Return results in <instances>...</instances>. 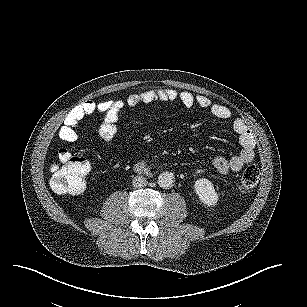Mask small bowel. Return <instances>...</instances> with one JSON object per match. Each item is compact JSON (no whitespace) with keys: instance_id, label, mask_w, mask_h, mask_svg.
<instances>
[{"instance_id":"obj_1","label":"small bowel","mask_w":307,"mask_h":307,"mask_svg":"<svg viewBox=\"0 0 307 307\" xmlns=\"http://www.w3.org/2000/svg\"><path fill=\"white\" fill-rule=\"evenodd\" d=\"M174 101L181 102L187 108L197 106L207 110L218 119L229 120L232 116L231 110L227 106L214 103L207 96L194 95L188 91L179 92L172 88H161L133 93L125 99L105 100L101 102L86 101L73 108L66 115L64 123L59 130V138L67 143L77 141L78 134L76 128L79 123L87 116L100 113L103 115V121L98 129V135L106 144H111L117 132V124L126 106L134 107L139 104ZM232 129L238 136V141L242 149L237 155L231 158L222 155H217L213 158V167L220 174H226L230 171L238 172L255 158L256 142L244 121L234 119L232 121Z\"/></svg>"}]
</instances>
